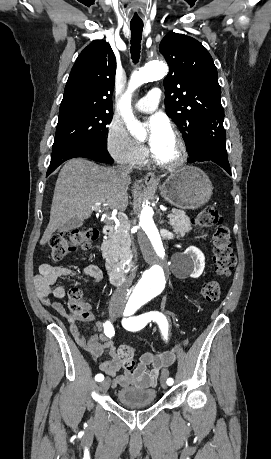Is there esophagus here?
I'll list each match as a JSON object with an SVG mask.
<instances>
[{
	"label": "esophagus",
	"mask_w": 271,
	"mask_h": 459,
	"mask_svg": "<svg viewBox=\"0 0 271 459\" xmlns=\"http://www.w3.org/2000/svg\"><path fill=\"white\" fill-rule=\"evenodd\" d=\"M145 183L146 185H157L158 180L154 172H148V174L145 175Z\"/></svg>",
	"instance_id": "34e87169"
}]
</instances>
